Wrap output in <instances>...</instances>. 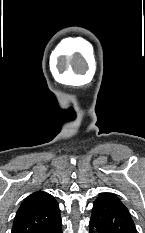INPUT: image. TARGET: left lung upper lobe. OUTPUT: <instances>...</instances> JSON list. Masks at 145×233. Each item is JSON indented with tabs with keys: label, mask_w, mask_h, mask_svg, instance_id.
I'll use <instances>...</instances> for the list:
<instances>
[{
	"label": "left lung upper lobe",
	"mask_w": 145,
	"mask_h": 233,
	"mask_svg": "<svg viewBox=\"0 0 145 233\" xmlns=\"http://www.w3.org/2000/svg\"><path fill=\"white\" fill-rule=\"evenodd\" d=\"M90 220L104 233H137L128 209L112 193H103L97 197Z\"/></svg>",
	"instance_id": "5c2ea615"
}]
</instances>
